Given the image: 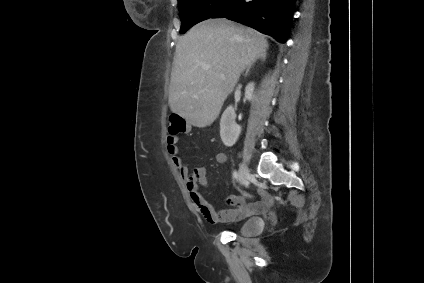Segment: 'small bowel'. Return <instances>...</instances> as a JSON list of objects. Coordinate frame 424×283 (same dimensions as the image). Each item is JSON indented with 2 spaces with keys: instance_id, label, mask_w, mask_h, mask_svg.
<instances>
[{
  "instance_id": "obj_1",
  "label": "small bowel",
  "mask_w": 424,
  "mask_h": 283,
  "mask_svg": "<svg viewBox=\"0 0 424 283\" xmlns=\"http://www.w3.org/2000/svg\"><path fill=\"white\" fill-rule=\"evenodd\" d=\"M179 136L170 135L167 138V148L170 153L175 166L178 168L181 177L185 182V186L196 211L209 223H227L240 220L249 214L263 210L270 196L262 191V200L255 201L251 195L246 197L228 196L226 203L231 205L232 208L222 209L216 211L211 204H209L202 196L200 187L208 188L209 183L207 179V171L205 167L198 166L189 169L188 165L179 156ZM216 161L219 164L227 162V155L225 153H218Z\"/></svg>"
}]
</instances>
